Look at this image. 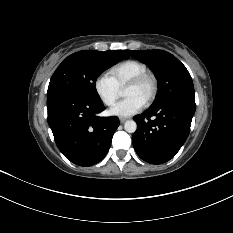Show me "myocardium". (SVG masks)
Here are the masks:
<instances>
[{"instance_id":"1","label":"myocardium","mask_w":233,"mask_h":233,"mask_svg":"<svg viewBox=\"0 0 233 233\" xmlns=\"http://www.w3.org/2000/svg\"><path fill=\"white\" fill-rule=\"evenodd\" d=\"M147 82L151 84V91L147 99L145 100V105L151 104L157 96L159 85H158V80L156 76L150 72H145V73H142L134 77L125 85V88H126L129 86H140Z\"/></svg>"}]
</instances>
